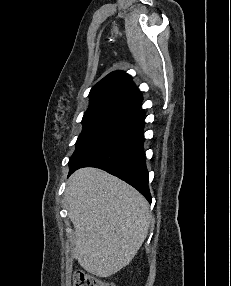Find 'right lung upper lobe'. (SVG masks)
<instances>
[{
	"label": "right lung upper lobe",
	"mask_w": 231,
	"mask_h": 286,
	"mask_svg": "<svg viewBox=\"0 0 231 286\" xmlns=\"http://www.w3.org/2000/svg\"><path fill=\"white\" fill-rule=\"evenodd\" d=\"M89 97V107L117 105L137 112L142 102V96L131 77L122 71H114L104 77L92 88Z\"/></svg>",
	"instance_id": "right-lung-upper-lobe-1"
}]
</instances>
